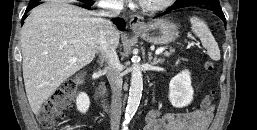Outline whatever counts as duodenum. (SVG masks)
Here are the masks:
<instances>
[{
  "label": "duodenum",
  "mask_w": 257,
  "mask_h": 130,
  "mask_svg": "<svg viewBox=\"0 0 257 130\" xmlns=\"http://www.w3.org/2000/svg\"><path fill=\"white\" fill-rule=\"evenodd\" d=\"M98 92L104 102L107 100V91L103 83L99 84Z\"/></svg>",
  "instance_id": "410a0bca"
}]
</instances>
